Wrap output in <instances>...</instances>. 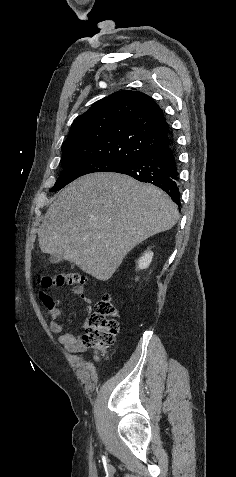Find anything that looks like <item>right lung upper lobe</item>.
<instances>
[{
  "mask_svg": "<svg viewBox=\"0 0 236 477\" xmlns=\"http://www.w3.org/2000/svg\"><path fill=\"white\" fill-rule=\"evenodd\" d=\"M162 110L148 95L122 90L92 105L72 124L62 161L109 157L132 162L169 141Z\"/></svg>",
  "mask_w": 236,
  "mask_h": 477,
  "instance_id": "obj_1",
  "label": "right lung upper lobe"
}]
</instances>
